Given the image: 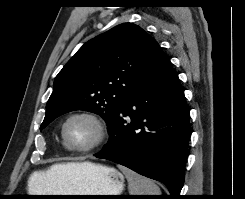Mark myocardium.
<instances>
[{
    "label": "myocardium",
    "mask_w": 245,
    "mask_h": 199,
    "mask_svg": "<svg viewBox=\"0 0 245 199\" xmlns=\"http://www.w3.org/2000/svg\"><path fill=\"white\" fill-rule=\"evenodd\" d=\"M75 118H85L90 120L97 129V136L93 143L85 147H77L70 143L67 136V126ZM61 135L65 146L73 152L87 154L100 148L108 138V129L104 120L96 113L86 110H80L70 113L64 120L61 128Z\"/></svg>",
    "instance_id": "obj_1"
}]
</instances>
